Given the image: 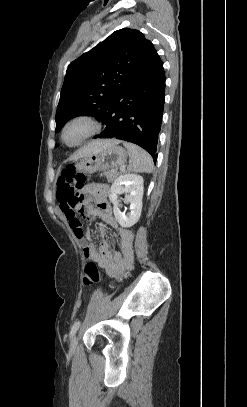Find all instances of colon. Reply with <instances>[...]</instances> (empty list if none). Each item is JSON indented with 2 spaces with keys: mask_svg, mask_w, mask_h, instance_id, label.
I'll return each mask as SVG.
<instances>
[{
  "mask_svg": "<svg viewBox=\"0 0 247 407\" xmlns=\"http://www.w3.org/2000/svg\"><path fill=\"white\" fill-rule=\"evenodd\" d=\"M85 184V176L76 172L73 165H69L64 169L57 182L56 198L61 203L76 202L78 200L81 189ZM128 276L125 273L119 281L124 280ZM101 280V274L98 265L90 261L84 269L83 283L85 286H92Z\"/></svg>",
  "mask_w": 247,
  "mask_h": 407,
  "instance_id": "obj_1",
  "label": "colon"
}]
</instances>
